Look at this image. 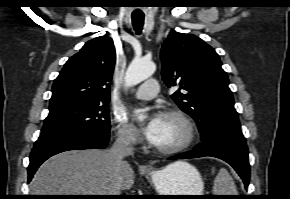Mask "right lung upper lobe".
<instances>
[{"mask_svg":"<svg viewBox=\"0 0 290 199\" xmlns=\"http://www.w3.org/2000/svg\"><path fill=\"white\" fill-rule=\"evenodd\" d=\"M113 40L97 37L64 65L52 87L49 110L88 103H108L115 65Z\"/></svg>","mask_w":290,"mask_h":199,"instance_id":"1","label":"right lung upper lobe"}]
</instances>
